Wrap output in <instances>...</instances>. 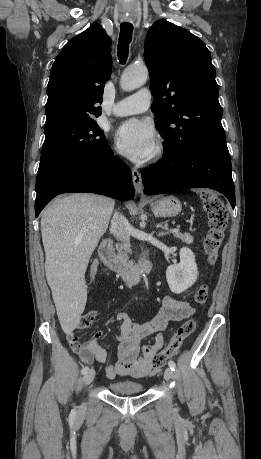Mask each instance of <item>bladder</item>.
Here are the masks:
<instances>
[{"label":"bladder","mask_w":261,"mask_h":459,"mask_svg":"<svg viewBox=\"0 0 261 459\" xmlns=\"http://www.w3.org/2000/svg\"><path fill=\"white\" fill-rule=\"evenodd\" d=\"M110 390L116 394L131 395L143 391V385L136 381H116L109 385Z\"/></svg>","instance_id":"31cf9c89"}]
</instances>
